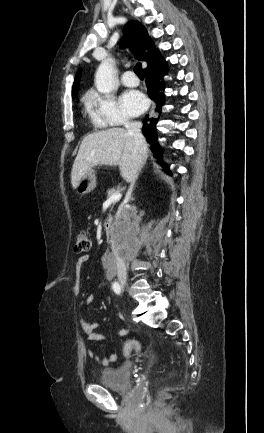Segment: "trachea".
Wrapping results in <instances>:
<instances>
[{
    "mask_svg": "<svg viewBox=\"0 0 264 433\" xmlns=\"http://www.w3.org/2000/svg\"><path fill=\"white\" fill-rule=\"evenodd\" d=\"M134 72L138 77H140V78L144 77L143 72H142V68H141V64L138 63L135 65Z\"/></svg>",
    "mask_w": 264,
    "mask_h": 433,
    "instance_id": "1",
    "label": "trachea"
}]
</instances>
